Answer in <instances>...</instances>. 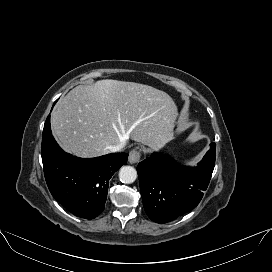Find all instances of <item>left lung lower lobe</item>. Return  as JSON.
I'll return each instance as SVG.
<instances>
[{
    "label": "left lung lower lobe",
    "mask_w": 272,
    "mask_h": 272,
    "mask_svg": "<svg viewBox=\"0 0 272 272\" xmlns=\"http://www.w3.org/2000/svg\"><path fill=\"white\" fill-rule=\"evenodd\" d=\"M197 167L180 166L170 157L153 153L137 166L143 205L156 223L170 222L195 208L210 182L215 143Z\"/></svg>",
    "instance_id": "left-lung-lower-lobe-1"
}]
</instances>
